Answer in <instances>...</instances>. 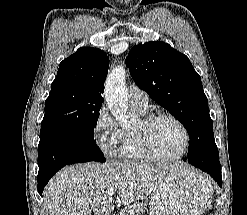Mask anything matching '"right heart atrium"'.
<instances>
[{
    "instance_id": "obj_1",
    "label": "right heart atrium",
    "mask_w": 247,
    "mask_h": 215,
    "mask_svg": "<svg viewBox=\"0 0 247 215\" xmlns=\"http://www.w3.org/2000/svg\"><path fill=\"white\" fill-rule=\"evenodd\" d=\"M93 135L104 155L117 157L122 140V130L105 105H102L96 114Z\"/></svg>"
}]
</instances>
